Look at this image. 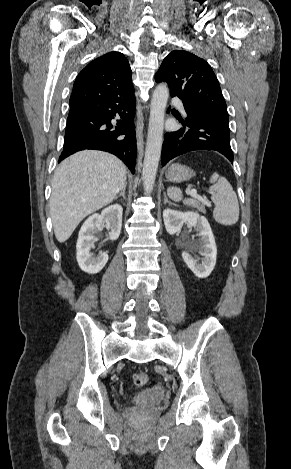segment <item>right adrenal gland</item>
I'll use <instances>...</instances> for the list:
<instances>
[{"label":"right adrenal gland","mask_w":291,"mask_h":469,"mask_svg":"<svg viewBox=\"0 0 291 469\" xmlns=\"http://www.w3.org/2000/svg\"><path fill=\"white\" fill-rule=\"evenodd\" d=\"M126 186H127V183L124 185V187L122 188L120 194L118 196H116L115 199H118L121 196L123 197V199H126V197H125Z\"/></svg>","instance_id":"1"}]
</instances>
